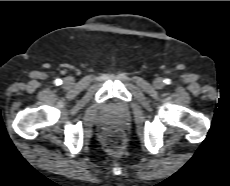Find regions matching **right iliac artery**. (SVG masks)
<instances>
[{
  "instance_id": "obj_1",
  "label": "right iliac artery",
  "mask_w": 230,
  "mask_h": 186,
  "mask_svg": "<svg viewBox=\"0 0 230 186\" xmlns=\"http://www.w3.org/2000/svg\"><path fill=\"white\" fill-rule=\"evenodd\" d=\"M55 83H56V85H60V84L62 83V80L57 79V80L55 81Z\"/></svg>"
}]
</instances>
